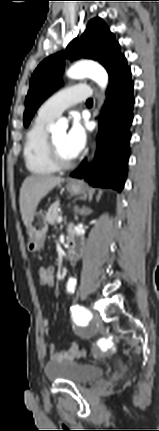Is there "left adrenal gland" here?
Segmentation results:
<instances>
[{
  "mask_svg": "<svg viewBox=\"0 0 159 431\" xmlns=\"http://www.w3.org/2000/svg\"><path fill=\"white\" fill-rule=\"evenodd\" d=\"M81 212H84V209ZM76 219H78V217H76Z\"/></svg>",
  "mask_w": 159,
  "mask_h": 431,
  "instance_id": "left-adrenal-gland-1",
  "label": "left adrenal gland"
}]
</instances>
